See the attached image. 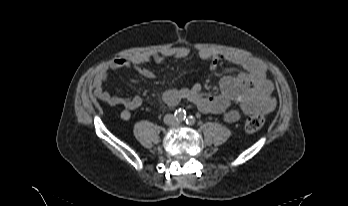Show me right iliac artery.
I'll use <instances>...</instances> for the list:
<instances>
[{
    "label": "right iliac artery",
    "mask_w": 348,
    "mask_h": 206,
    "mask_svg": "<svg viewBox=\"0 0 348 206\" xmlns=\"http://www.w3.org/2000/svg\"><path fill=\"white\" fill-rule=\"evenodd\" d=\"M175 116H176L177 120L183 121L186 118V112H185V110L180 109V110L176 111Z\"/></svg>",
    "instance_id": "1"
}]
</instances>
